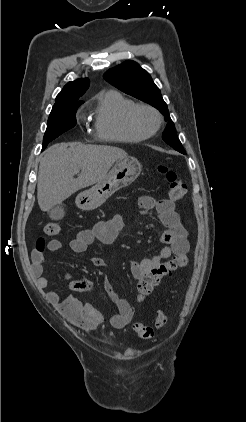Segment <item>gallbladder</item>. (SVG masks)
Listing matches in <instances>:
<instances>
[{
	"mask_svg": "<svg viewBox=\"0 0 246 422\" xmlns=\"http://www.w3.org/2000/svg\"><path fill=\"white\" fill-rule=\"evenodd\" d=\"M49 216L53 220H60L64 217V209L61 204L56 205L55 207L49 210Z\"/></svg>",
	"mask_w": 246,
	"mask_h": 422,
	"instance_id": "gallbladder-1",
	"label": "gallbladder"
}]
</instances>
